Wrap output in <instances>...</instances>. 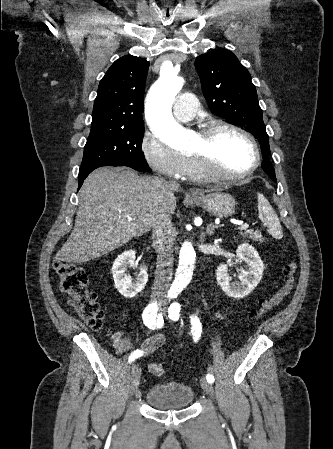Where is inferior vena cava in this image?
<instances>
[{"mask_svg": "<svg viewBox=\"0 0 333 449\" xmlns=\"http://www.w3.org/2000/svg\"><path fill=\"white\" fill-rule=\"evenodd\" d=\"M152 227L153 244L157 252L152 299H157L167 293L172 278L174 229L171 218L167 215H156Z\"/></svg>", "mask_w": 333, "mask_h": 449, "instance_id": "obj_1", "label": "inferior vena cava"}]
</instances>
